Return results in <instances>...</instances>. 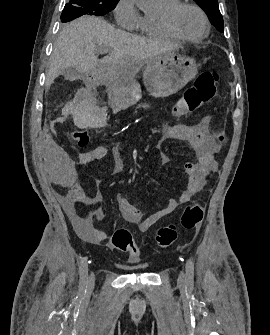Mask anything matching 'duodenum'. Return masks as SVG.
<instances>
[{
  "mask_svg": "<svg viewBox=\"0 0 270 335\" xmlns=\"http://www.w3.org/2000/svg\"><path fill=\"white\" fill-rule=\"evenodd\" d=\"M108 90L111 97V106L116 110L122 109L126 102V96L122 85L116 82H110Z\"/></svg>",
  "mask_w": 270,
  "mask_h": 335,
  "instance_id": "410a0bca",
  "label": "duodenum"
}]
</instances>
